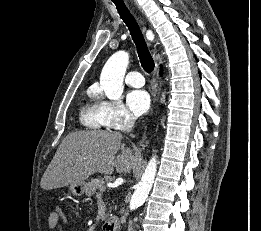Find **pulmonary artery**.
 Wrapping results in <instances>:
<instances>
[{
	"mask_svg": "<svg viewBox=\"0 0 261 231\" xmlns=\"http://www.w3.org/2000/svg\"><path fill=\"white\" fill-rule=\"evenodd\" d=\"M125 81L128 85L135 88H140L144 85V77L138 71H130L126 75Z\"/></svg>",
	"mask_w": 261,
	"mask_h": 231,
	"instance_id": "pulmonary-artery-1",
	"label": "pulmonary artery"
}]
</instances>
